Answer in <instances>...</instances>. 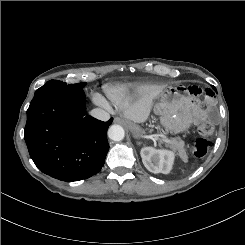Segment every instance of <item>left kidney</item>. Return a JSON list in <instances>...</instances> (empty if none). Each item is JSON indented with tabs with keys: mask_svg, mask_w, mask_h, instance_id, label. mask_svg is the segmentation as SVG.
<instances>
[{
	"mask_svg": "<svg viewBox=\"0 0 245 245\" xmlns=\"http://www.w3.org/2000/svg\"><path fill=\"white\" fill-rule=\"evenodd\" d=\"M141 157L144 166L152 173H170L175 155L169 150H157L152 147L141 149Z\"/></svg>",
	"mask_w": 245,
	"mask_h": 245,
	"instance_id": "1",
	"label": "left kidney"
}]
</instances>
